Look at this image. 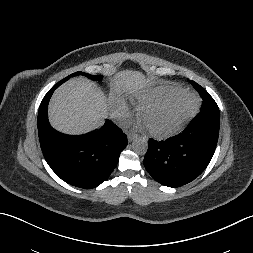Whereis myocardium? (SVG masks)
I'll return each mask as SVG.
<instances>
[{"mask_svg":"<svg viewBox=\"0 0 253 253\" xmlns=\"http://www.w3.org/2000/svg\"><path fill=\"white\" fill-rule=\"evenodd\" d=\"M181 97L187 98L190 103L186 111L183 113V115L180 117V119L173 127L164 131H156L150 129L144 124V119L148 113L163 108ZM199 104H200L199 99L195 93L187 89H179L176 92L172 93L171 95L165 97L164 99L142 106L139 110L138 118L140 122L144 125L150 136L156 139H167L176 135L190 122V120L196 114L199 108Z\"/></svg>","mask_w":253,"mask_h":253,"instance_id":"myocardium-1","label":"myocardium"}]
</instances>
